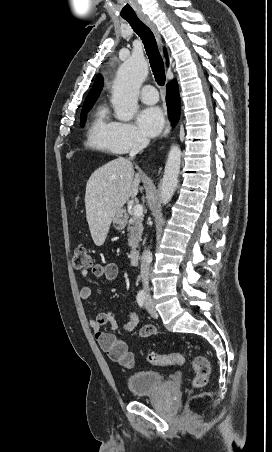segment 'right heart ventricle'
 I'll return each instance as SVG.
<instances>
[{"mask_svg": "<svg viewBox=\"0 0 272 452\" xmlns=\"http://www.w3.org/2000/svg\"><path fill=\"white\" fill-rule=\"evenodd\" d=\"M117 122L108 116L105 107H99L87 130L86 143L88 146L112 153H120L114 145L113 135Z\"/></svg>", "mask_w": 272, "mask_h": 452, "instance_id": "e07e8e85", "label": "right heart ventricle"}]
</instances>
